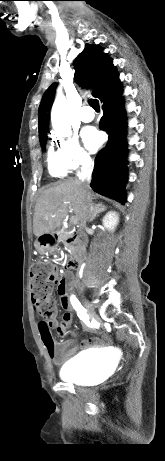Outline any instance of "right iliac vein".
Returning <instances> with one entry per match:
<instances>
[{
	"label": "right iliac vein",
	"instance_id": "obj_1",
	"mask_svg": "<svg viewBox=\"0 0 165 461\" xmlns=\"http://www.w3.org/2000/svg\"><path fill=\"white\" fill-rule=\"evenodd\" d=\"M81 297H82V302H83V305L85 306L86 310L88 311L89 315L93 318V319H96L97 318V315H96V312L93 308V306L88 302V300L83 296L82 292H81Z\"/></svg>",
	"mask_w": 165,
	"mask_h": 461
}]
</instances>
